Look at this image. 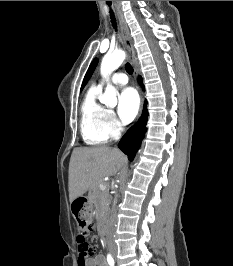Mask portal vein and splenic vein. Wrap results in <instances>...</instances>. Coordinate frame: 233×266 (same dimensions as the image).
Returning a JSON list of instances; mask_svg holds the SVG:
<instances>
[{
  "instance_id": "18ae733b",
  "label": "portal vein and splenic vein",
  "mask_w": 233,
  "mask_h": 266,
  "mask_svg": "<svg viewBox=\"0 0 233 266\" xmlns=\"http://www.w3.org/2000/svg\"><path fill=\"white\" fill-rule=\"evenodd\" d=\"M99 187H100L101 190H105L106 189V184H100Z\"/></svg>"
}]
</instances>
